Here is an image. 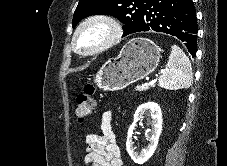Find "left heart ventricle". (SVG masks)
I'll return each mask as SVG.
<instances>
[{
  "label": "left heart ventricle",
  "mask_w": 227,
  "mask_h": 166,
  "mask_svg": "<svg viewBox=\"0 0 227 166\" xmlns=\"http://www.w3.org/2000/svg\"><path fill=\"white\" fill-rule=\"evenodd\" d=\"M108 35V29L102 24H93L79 35L77 43L80 49L90 50L101 43Z\"/></svg>",
  "instance_id": "1"
}]
</instances>
